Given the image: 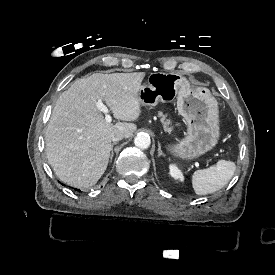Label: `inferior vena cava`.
<instances>
[{
  "label": "inferior vena cava",
  "mask_w": 275,
  "mask_h": 275,
  "mask_svg": "<svg viewBox=\"0 0 275 275\" xmlns=\"http://www.w3.org/2000/svg\"><path fill=\"white\" fill-rule=\"evenodd\" d=\"M124 137H125V133L121 130H117L112 135V141L118 142V141L122 140Z\"/></svg>",
  "instance_id": "obj_1"
}]
</instances>
